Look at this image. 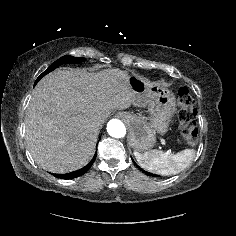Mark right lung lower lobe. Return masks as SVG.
Wrapping results in <instances>:
<instances>
[{"label":"right lung lower lobe","instance_id":"right-lung-lower-lobe-1","mask_svg":"<svg viewBox=\"0 0 236 236\" xmlns=\"http://www.w3.org/2000/svg\"><path fill=\"white\" fill-rule=\"evenodd\" d=\"M95 158H96V154H95L94 158L89 162V164L86 165L85 167H83L82 169H79L77 171L67 173V174H53V175L55 177L61 178V179H72V178L79 177V176L83 175L86 171H88L90 169V167L94 163Z\"/></svg>","mask_w":236,"mask_h":236}]
</instances>
